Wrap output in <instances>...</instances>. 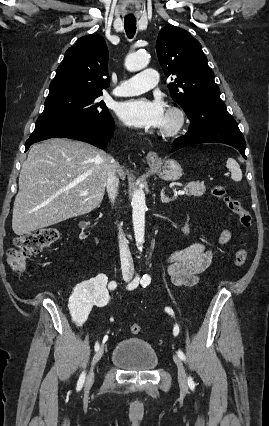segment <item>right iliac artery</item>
<instances>
[{"label":"right iliac artery","mask_w":269,"mask_h":426,"mask_svg":"<svg viewBox=\"0 0 269 426\" xmlns=\"http://www.w3.org/2000/svg\"><path fill=\"white\" fill-rule=\"evenodd\" d=\"M139 282H140V277L136 276L134 278V280L130 284H128L127 289H129V290L135 289L139 285ZM116 286H117L116 282L112 281V282L109 283L108 288L110 290H114L116 288ZM94 349H95V351L99 350V343L98 342L95 343ZM84 381H85V372H82V374L80 375L79 380L77 382V388H76L77 391L81 390V388L83 387Z\"/></svg>","instance_id":"82829eb1"}]
</instances>
